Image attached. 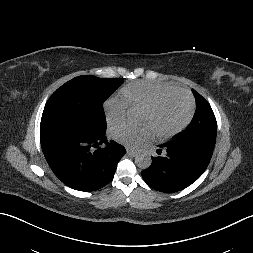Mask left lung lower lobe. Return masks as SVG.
<instances>
[{"mask_svg": "<svg viewBox=\"0 0 253 253\" xmlns=\"http://www.w3.org/2000/svg\"><path fill=\"white\" fill-rule=\"evenodd\" d=\"M157 150L160 155L152 157L151 165L142 171L145 182L153 189L173 193L185 189L206 170L211 156L201 148L183 144L166 143Z\"/></svg>", "mask_w": 253, "mask_h": 253, "instance_id": "0a47b994", "label": "left lung lower lobe"}]
</instances>
